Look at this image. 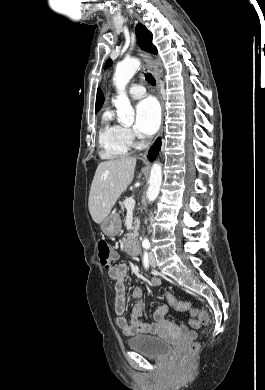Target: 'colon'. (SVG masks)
I'll return each mask as SVG.
<instances>
[{"label": "colon", "instance_id": "1", "mask_svg": "<svg viewBox=\"0 0 265 390\" xmlns=\"http://www.w3.org/2000/svg\"><path fill=\"white\" fill-rule=\"evenodd\" d=\"M98 257L101 265L105 269H110L113 267V263L115 260L114 253L110 246L105 241H100L98 244ZM167 300L169 304L174 307L178 311H187L191 308V305L188 302H183L177 300V298L169 293L167 294ZM192 314L198 319V321L203 325H208L210 318L207 312L204 310H192ZM199 344L194 343L190 346V348L185 353L183 360L185 362L190 361L198 352Z\"/></svg>", "mask_w": 265, "mask_h": 390}]
</instances>
